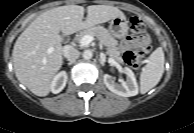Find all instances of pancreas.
Masks as SVG:
<instances>
[{
  "label": "pancreas",
  "instance_id": "pancreas-1",
  "mask_svg": "<svg viewBox=\"0 0 194 133\" xmlns=\"http://www.w3.org/2000/svg\"><path fill=\"white\" fill-rule=\"evenodd\" d=\"M85 35L96 36L100 42L106 47V54L118 61L123 62L120 52L117 50V41L103 26H94L87 28L79 33L77 40L81 42V38Z\"/></svg>",
  "mask_w": 194,
  "mask_h": 133
}]
</instances>
